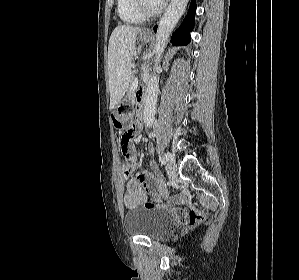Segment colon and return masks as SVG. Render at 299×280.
Wrapping results in <instances>:
<instances>
[{
    "mask_svg": "<svg viewBox=\"0 0 299 280\" xmlns=\"http://www.w3.org/2000/svg\"><path fill=\"white\" fill-rule=\"evenodd\" d=\"M134 137V131L131 128H128L119 133L118 141L120 150L125 158L124 163L122 164L121 177L126 180L134 172L136 163L132 155V139ZM144 207L146 209H152L155 207L162 208L171 213L174 220L181 225H194L202 221L205 217V213L201 210H191L188 211L181 207L169 206L166 204L155 205L152 202L145 203Z\"/></svg>",
    "mask_w": 299,
    "mask_h": 280,
    "instance_id": "1",
    "label": "colon"
}]
</instances>
